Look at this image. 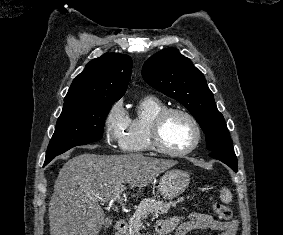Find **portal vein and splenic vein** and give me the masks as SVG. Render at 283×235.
Wrapping results in <instances>:
<instances>
[{
	"instance_id": "18ae733b",
	"label": "portal vein and splenic vein",
	"mask_w": 283,
	"mask_h": 235,
	"mask_svg": "<svg viewBox=\"0 0 283 235\" xmlns=\"http://www.w3.org/2000/svg\"><path fill=\"white\" fill-rule=\"evenodd\" d=\"M124 190H125V187L123 185L118 187L111 196L107 198H101V202L104 203L110 200V201H116L120 204H123V199L121 198V194L124 192Z\"/></svg>"
}]
</instances>
